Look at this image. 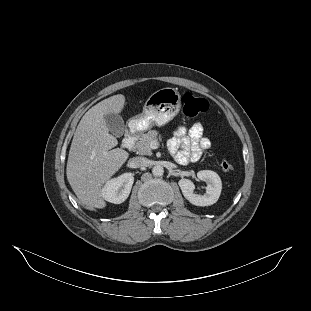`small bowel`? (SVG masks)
I'll use <instances>...</instances> for the list:
<instances>
[{
    "instance_id": "c3829d8e",
    "label": "small bowel",
    "mask_w": 311,
    "mask_h": 311,
    "mask_svg": "<svg viewBox=\"0 0 311 311\" xmlns=\"http://www.w3.org/2000/svg\"><path fill=\"white\" fill-rule=\"evenodd\" d=\"M170 152L179 164L198 161L211 146L210 140L203 134L201 123H194L191 127H180L169 140Z\"/></svg>"
}]
</instances>
